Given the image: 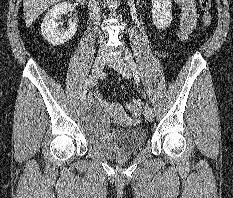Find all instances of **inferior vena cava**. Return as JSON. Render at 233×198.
Segmentation results:
<instances>
[{"mask_svg":"<svg viewBox=\"0 0 233 198\" xmlns=\"http://www.w3.org/2000/svg\"><path fill=\"white\" fill-rule=\"evenodd\" d=\"M89 11H90V18L97 23L100 20L99 17V8L96 0H89V5H88ZM101 49H105L104 42L101 40Z\"/></svg>","mask_w":233,"mask_h":198,"instance_id":"1","label":"inferior vena cava"}]
</instances>
